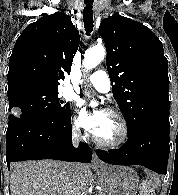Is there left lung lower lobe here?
I'll return each instance as SVG.
<instances>
[{"label": "left lung lower lobe", "instance_id": "obj_1", "mask_svg": "<svg viewBox=\"0 0 178 195\" xmlns=\"http://www.w3.org/2000/svg\"><path fill=\"white\" fill-rule=\"evenodd\" d=\"M170 126L144 125L119 149L96 150L98 158L115 165H142L159 174L167 173Z\"/></svg>", "mask_w": 178, "mask_h": 195}]
</instances>
